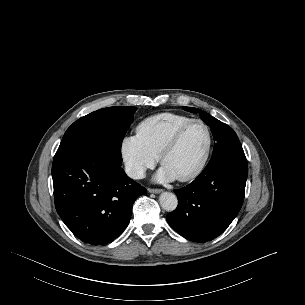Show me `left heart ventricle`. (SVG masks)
<instances>
[{"label":"left heart ventricle","instance_id":"b2bd125f","mask_svg":"<svg viewBox=\"0 0 305 305\" xmlns=\"http://www.w3.org/2000/svg\"><path fill=\"white\" fill-rule=\"evenodd\" d=\"M207 145V133L200 124H193L183 133L178 145L166 155L163 165L176 177L186 175L200 163Z\"/></svg>","mask_w":305,"mask_h":305}]
</instances>
